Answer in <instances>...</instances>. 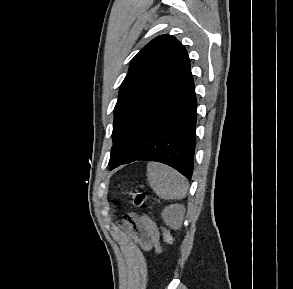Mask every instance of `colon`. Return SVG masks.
I'll list each match as a JSON object with an SVG mask.
<instances>
[{
    "mask_svg": "<svg viewBox=\"0 0 293 289\" xmlns=\"http://www.w3.org/2000/svg\"><path fill=\"white\" fill-rule=\"evenodd\" d=\"M126 192L136 206H143L146 204L148 195L144 191L138 189H126ZM162 235L164 242L167 245L173 244L174 239L168 229L162 228Z\"/></svg>",
    "mask_w": 293,
    "mask_h": 289,
    "instance_id": "obj_1",
    "label": "colon"
}]
</instances>
